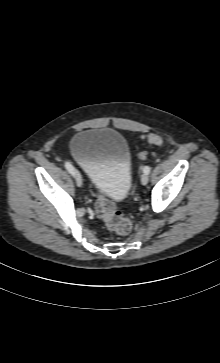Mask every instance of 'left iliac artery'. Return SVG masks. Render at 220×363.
Returning a JSON list of instances; mask_svg holds the SVG:
<instances>
[{"mask_svg": "<svg viewBox=\"0 0 220 363\" xmlns=\"http://www.w3.org/2000/svg\"><path fill=\"white\" fill-rule=\"evenodd\" d=\"M150 170H151V168L149 166H145L143 168V172L146 173V174H149L150 173Z\"/></svg>", "mask_w": 220, "mask_h": 363, "instance_id": "obj_1", "label": "left iliac artery"}]
</instances>
